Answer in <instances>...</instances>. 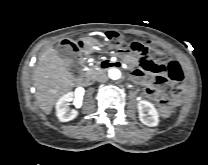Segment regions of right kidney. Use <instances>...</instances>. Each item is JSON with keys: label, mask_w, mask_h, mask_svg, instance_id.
<instances>
[{"label": "right kidney", "mask_w": 208, "mask_h": 165, "mask_svg": "<svg viewBox=\"0 0 208 165\" xmlns=\"http://www.w3.org/2000/svg\"><path fill=\"white\" fill-rule=\"evenodd\" d=\"M84 95V89L79 87L76 89L75 93L68 92L67 94L60 97L56 102V116L61 122H67L74 119L78 112L76 110H68V103L74 101L76 108H80L82 105Z\"/></svg>", "instance_id": "obj_1"}]
</instances>
